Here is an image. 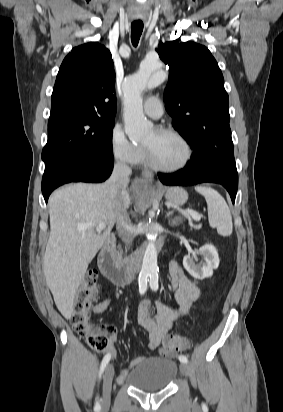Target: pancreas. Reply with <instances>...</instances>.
Returning a JSON list of instances; mask_svg holds the SVG:
<instances>
[{
    "instance_id": "1",
    "label": "pancreas",
    "mask_w": 283,
    "mask_h": 412,
    "mask_svg": "<svg viewBox=\"0 0 283 412\" xmlns=\"http://www.w3.org/2000/svg\"><path fill=\"white\" fill-rule=\"evenodd\" d=\"M178 219V221H180L181 220V218H177Z\"/></svg>"
}]
</instances>
